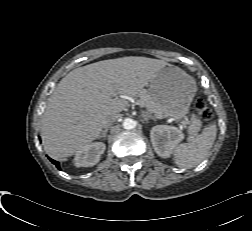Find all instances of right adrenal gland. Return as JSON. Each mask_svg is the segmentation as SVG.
Instances as JSON below:
<instances>
[{"label": "right adrenal gland", "instance_id": "obj_1", "mask_svg": "<svg viewBox=\"0 0 252 231\" xmlns=\"http://www.w3.org/2000/svg\"><path fill=\"white\" fill-rule=\"evenodd\" d=\"M108 129H109L108 127H107V128H105V130H103V132L101 133V135H100V137H99V138H104V139H106Z\"/></svg>", "mask_w": 252, "mask_h": 231}]
</instances>
